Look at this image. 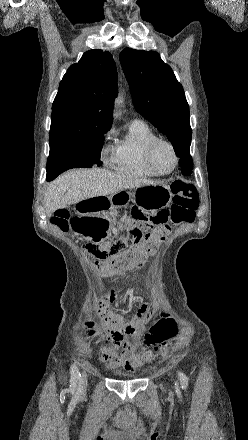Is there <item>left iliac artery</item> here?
Listing matches in <instances>:
<instances>
[{
    "label": "left iliac artery",
    "instance_id": "left-iliac-artery-1",
    "mask_svg": "<svg viewBox=\"0 0 248 440\" xmlns=\"http://www.w3.org/2000/svg\"><path fill=\"white\" fill-rule=\"evenodd\" d=\"M178 376H179V379H180V383H181L182 389H186L187 386H188V378H187V376L183 372H179Z\"/></svg>",
    "mask_w": 248,
    "mask_h": 440
}]
</instances>
